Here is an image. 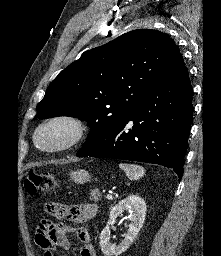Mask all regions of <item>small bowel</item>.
I'll use <instances>...</instances> for the list:
<instances>
[{"instance_id":"obj_1","label":"small bowel","mask_w":221,"mask_h":256,"mask_svg":"<svg viewBox=\"0 0 221 256\" xmlns=\"http://www.w3.org/2000/svg\"><path fill=\"white\" fill-rule=\"evenodd\" d=\"M46 211L70 224H80L95 217L97 206L94 204L61 205L48 203ZM70 231H74L83 244L80 250L81 256H97L91 244L90 235L84 227L73 228L69 224L55 223L49 220L41 221L35 237L36 243L43 251V256H57V248L68 250L70 244L67 234Z\"/></svg>"}]
</instances>
